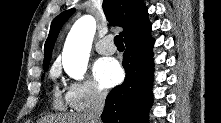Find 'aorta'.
<instances>
[{"label": "aorta", "instance_id": "aorta-1", "mask_svg": "<svg viewBox=\"0 0 221 123\" xmlns=\"http://www.w3.org/2000/svg\"><path fill=\"white\" fill-rule=\"evenodd\" d=\"M95 30V19L91 15H85L74 23L67 36L62 65L66 73L74 79H83L87 70Z\"/></svg>", "mask_w": 221, "mask_h": 123}]
</instances>
